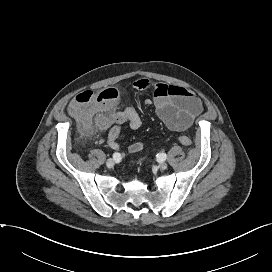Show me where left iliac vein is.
Here are the masks:
<instances>
[{
	"mask_svg": "<svg viewBox=\"0 0 272 272\" xmlns=\"http://www.w3.org/2000/svg\"><path fill=\"white\" fill-rule=\"evenodd\" d=\"M167 167H168L167 163H165V162H160L159 163V168L161 170H165V169H167Z\"/></svg>",
	"mask_w": 272,
	"mask_h": 272,
	"instance_id": "1",
	"label": "left iliac vein"
}]
</instances>
